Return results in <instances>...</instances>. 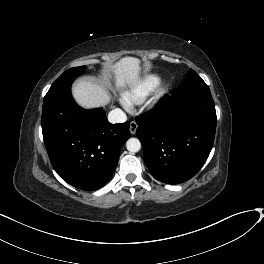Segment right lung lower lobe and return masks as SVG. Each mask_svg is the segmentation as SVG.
Here are the masks:
<instances>
[{
    "instance_id": "98d812e1",
    "label": "right lung lower lobe",
    "mask_w": 264,
    "mask_h": 264,
    "mask_svg": "<svg viewBox=\"0 0 264 264\" xmlns=\"http://www.w3.org/2000/svg\"><path fill=\"white\" fill-rule=\"evenodd\" d=\"M129 126L128 121L109 123L101 108H81L71 87L43 103L42 133L51 164L64 181L82 190L109 182L130 137Z\"/></svg>"
}]
</instances>
